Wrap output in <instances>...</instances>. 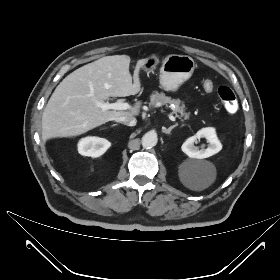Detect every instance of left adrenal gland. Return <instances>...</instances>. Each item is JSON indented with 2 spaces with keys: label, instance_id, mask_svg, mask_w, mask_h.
Segmentation results:
<instances>
[{
  "label": "left adrenal gland",
  "instance_id": "a2214340",
  "mask_svg": "<svg viewBox=\"0 0 280 280\" xmlns=\"http://www.w3.org/2000/svg\"><path fill=\"white\" fill-rule=\"evenodd\" d=\"M177 125H178V124H174V125L170 126L168 129H163V132H164L165 134H170L171 130H172L173 128H175Z\"/></svg>",
  "mask_w": 280,
  "mask_h": 280
}]
</instances>
